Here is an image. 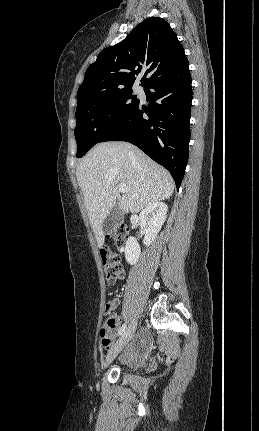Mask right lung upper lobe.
Wrapping results in <instances>:
<instances>
[{
	"instance_id": "cb5924a9",
	"label": "right lung upper lobe",
	"mask_w": 259,
	"mask_h": 431,
	"mask_svg": "<svg viewBox=\"0 0 259 431\" xmlns=\"http://www.w3.org/2000/svg\"><path fill=\"white\" fill-rule=\"evenodd\" d=\"M188 64L184 48L168 22L151 17L137 25L120 43L105 48L89 66L78 89V104L87 97L132 88L143 70L145 88ZM150 73V77L145 76Z\"/></svg>"
}]
</instances>
